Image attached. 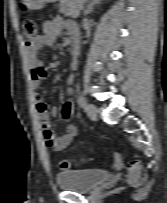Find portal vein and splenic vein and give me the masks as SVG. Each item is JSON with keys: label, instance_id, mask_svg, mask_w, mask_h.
Masks as SVG:
<instances>
[{"label": "portal vein and splenic vein", "instance_id": "portal-vein-and-splenic-vein-1", "mask_svg": "<svg viewBox=\"0 0 167 203\" xmlns=\"http://www.w3.org/2000/svg\"><path fill=\"white\" fill-rule=\"evenodd\" d=\"M81 9H83V7H81L79 10H77V12L74 14L73 17H78Z\"/></svg>", "mask_w": 167, "mask_h": 203}]
</instances>
